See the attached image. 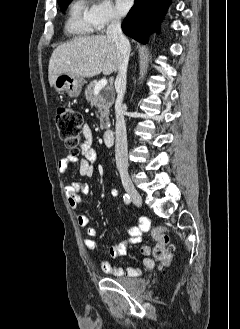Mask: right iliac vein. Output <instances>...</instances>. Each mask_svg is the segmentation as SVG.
Returning a JSON list of instances; mask_svg holds the SVG:
<instances>
[{"label":"right iliac vein","instance_id":"obj_1","mask_svg":"<svg viewBox=\"0 0 240 329\" xmlns=\"http://www.w3.org/2000/svg\"><path fill=\"white\" fill-rule=\"evenodd\" d=\"M122 183H123V186H124L126 192L130 196L132 202L137 206H141L142 198H141L139 192L137 191V189L134 187L130 178L122 177Z\"/></svg>","mask_w":240,"mask_h":329}]
</instances>
